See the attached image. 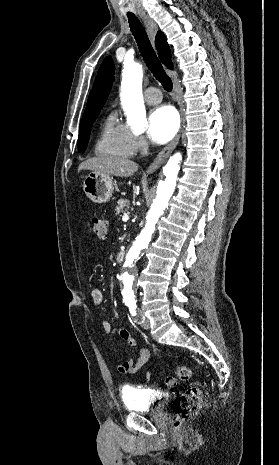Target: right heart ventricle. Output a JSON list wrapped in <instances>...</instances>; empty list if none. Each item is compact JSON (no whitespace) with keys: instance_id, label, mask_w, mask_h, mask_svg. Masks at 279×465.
Instances as JSON below:
<instances>
[{"instance_id":"right-heart-ventricle-1","label":"right heart ventricle","mask_w":279,"mask_h":465,"mask_svg":"<svg viewBox=\"0 0 279 465\" xmlns=\"http://www.w3.org/2000/svg\"><path fill=\"white\" fill-rule=\"evenodd\" d=\"M95 152L100 156L116 158H128L135 153L131 131L119 121L116 112H111L106 117Z\"/></svg>"}]
</instances>
